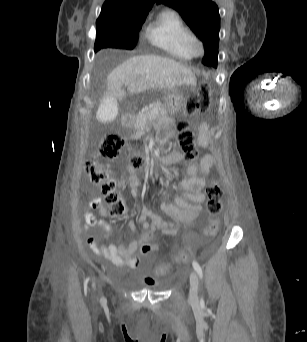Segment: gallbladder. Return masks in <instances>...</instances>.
<instances>
[{"label":"gallbladder","instance_id":"gallbladder-1","mask_svg":"<svg viewBox=\"0 0 307 342\" xmlns=\"http://www.w3.org/2000/svg\"><path fill=\"white\" fill-rule=\"evenodd\" d=\"M102 103H98L95 112L99 123H111L118 112V104L122 102V95H104Z\"/></svg>","mask_w":307,"mask_h":342}]
</instances>
